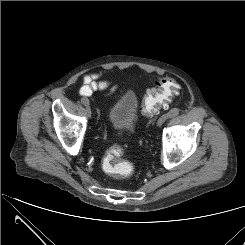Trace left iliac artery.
<instances>
[{"label": "left iliac artery", "mask_w": 245, "mask_h": 245, "mask_svg": "<svg viewBox=\"0 0 245 245\" xmlns=\"http://www.w3.org/2000/svg\"><path fill=\"white\" fill-rule=\"evenodd\" d=\"M179 109L178 108H173L169 111L168 115H169V118H172V117H175L179 114Z\"/></svg>", "instance_id": "obj_1"}]
</instances>
